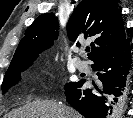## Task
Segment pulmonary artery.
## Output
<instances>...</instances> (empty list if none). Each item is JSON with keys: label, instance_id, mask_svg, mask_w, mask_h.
<instances>
[{"label": "pulmonary artery", "instance_id": "1", "mask_svg": "<svg viewBox=\"0 0 133 118\" xmlns=\"http://www.w3.org/2000/svg\"><path fill=\"white\" fill-rule=\"evenodd\" d=\"M77 68L81 71V72H88L90 67L87 61L85 60H79L77 62Z\"/></svg>", "mask_w": 133, "mask_h": 118}]
</instances>
